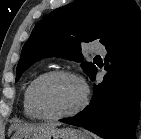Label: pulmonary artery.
<instances>
[{
	"mask_svg": "<svg viewBox=\"0 0 141 139\" xmlns=\"http://www.w3.org/2000/svg\"><path fill=\"white\" fill-rule=\"evenodd\" d=\"M91 51L94 53H99V54H104L106 52L105 47L99 44L92 45Z\"/></svg>",
	"mask_w": 141,
	"mask_h": 139,
	"instance_id": "e3ab8cb5",
	"label": "pulmonary artery"
}]
</instances>
